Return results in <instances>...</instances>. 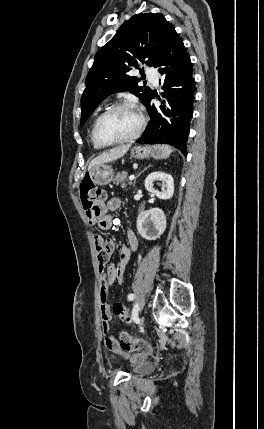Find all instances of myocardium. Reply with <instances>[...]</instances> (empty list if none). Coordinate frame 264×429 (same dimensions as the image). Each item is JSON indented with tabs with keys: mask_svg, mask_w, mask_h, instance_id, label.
<instances>
[{
	"mask_svg": "<svg viewBox=\"0 0 264 429\" xmlns=\"http://www.w3.org/2000/svg\"><path fill=\"white\" fill-rule=\"evenodd\" d=\"M121 109H129V110H132L135 112V114L137 115L138 120H139L138 127L136 128L134 133H132L130 136H128L126 138L119 139V140L112 141V142L102 141L98 136V127H99L100 122L108 114H110L114 111H117V110H121ZM145 124H146L145 116L142 114V112L139 110V108L134 103L118 102V103H115V104L111 105L110 107H108L105 111H103L96 118L94 125H93V129H92V137H93V140L101 147H108V146H113V145H117V144H123V143L131 142V141L137 139L142 134V132L145 128Z\"/></svg>",
	"mask_w": 264,
	"mask_h": 429,
	"instance_id": "obj_1",
	"label": "myocardium"
}]
</instances>
